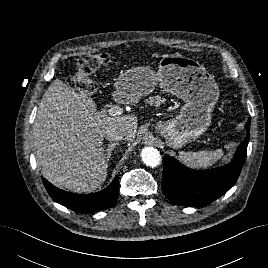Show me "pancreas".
Listing matches in <instances>:
<instances>
[{
    "label": "pancreas",
    "mask_w": 268,
    "mask_h": 268,
    "mask_svg": "<svg viewBox=\"0 0 268 268\" xmlns=\"http://www.w3.org/2000/svg\"><path fill=\"white\" fill-rule=\"evenodd\" d=\"M163 101V99L160 96L150 97L146 100V103L152 105V104H160Z\"/></svg>",
    "instance_id": "cf45deb5"
}]
</instances>
